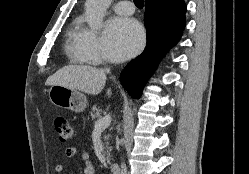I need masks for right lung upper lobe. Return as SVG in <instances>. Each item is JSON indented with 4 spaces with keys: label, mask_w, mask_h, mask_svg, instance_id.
I'll return each mask as SVG.
<instances>
[{
    "label": "right lung upper lobe",
    "mask_w": 249,
    "mask_h": 174,
    "mask_svg": "<svg viewBox=\"0 0 249 174\" xmlns=\"http://www.w3.org/2000/svg\"><path fill=\"white\" fill-rule=\"evenodd\" d=\"M148 1V0H145ZM154 2H161V1H166V0H153Z\"/></svg>",
    "instance_id": "right-lung-upper-lobe-1"
}]
</instances>
